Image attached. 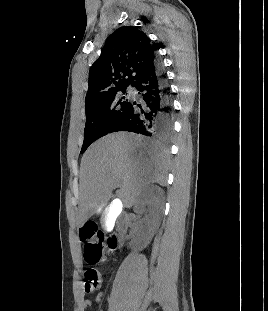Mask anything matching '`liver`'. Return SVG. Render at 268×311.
Here are the masks:
<instances>
[{
    "mask_svg": "<svg viewBox=\"0 0 268 311\" xmlns=\"http://www.w3.org/2000/svg\"><path fill=\"white\" fill-rule=\"evenodd\" d=\"M168 160L160 146L147 144L139 135L119 132L96 141L81 159L77 225L107 205L115 186L126 208L150 184L165 186Z\"/></svg>",
    "mask_w": 268,
    "mask_h": 311,
    "instance_id": "obj_1",
    "label": "liver"
}]
</instances>
